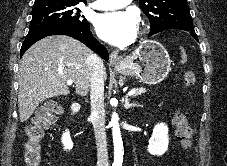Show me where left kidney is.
<instances>
[{
  "instance_id": "5707ae66",
  "label": "left kidney",
  "mask_w": 227,
  "mask_h": 166,
  "mask_svg": "<svg viewBox=\"0 0 227 166\" xmlns=\"http://www.w3.org/2000/svg\"><path fill=\"white\" fill-rule=\"evenodd\" d=\"M169 144L168 127L164 123L157 124L153 129L152 137L149 140L148 152L151 155L161 156L167 149Z\"/></svg>"
}]
</instances>
